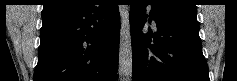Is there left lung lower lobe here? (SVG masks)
Masks as SVG:
<instances>
[{
	"label": "left lung lower lobe",
	"mask_w": 237,
	"mask_h": 81,
	"mask_svg": "<svg viewBox=\"0 0 237 81\" xmlns=\"http://www.w3.org/2000/svg\"><path fill=\"white\" fill-rule=\"evenodd\" d=\"M157 25L143 34L146 6ZM151 22V18H149ZM133 81H210L196 16L164 11L152 1L135 0L130 11Z\"/></svg>",
	"instance_id": "1"
}]
</instances>
